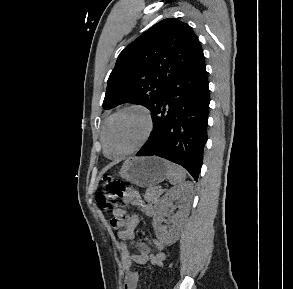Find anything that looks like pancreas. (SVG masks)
<instances>
[{"instance_id": "obj_1", "label": "pancreas", "mask_w": 293, "mask_h": 289, "mask_svg": "<svg viewBox=\"0 0 293 289\" xmlns=\"http://www.w3.org/2000/svg\"><path fill=\"white\" fill-rule=\"evenodd\" d=\"M163 193V190H158L156 187H149L146 190L144 198L149 203H157L160 195Z\"/></svg>"}]
</instances>
